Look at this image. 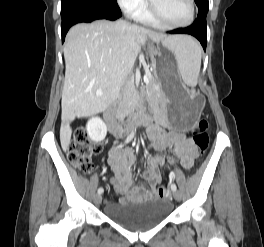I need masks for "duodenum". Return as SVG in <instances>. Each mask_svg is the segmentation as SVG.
Instances as JSON below:
<instances>
[{
    "label": "duodenum",
    "instance_id": "duodenum-1",
    "mask_svg": "<svg viewBox=\"0 0 264 247\" xmlns=\"http://www.w3.org/2000/svg\"><path fill=\"white\" fill-rule=\"evenodd\" d=\"M119 111V104H112L105 114V120L108 126L109 131L114 135H121L125 133L132 123H138L143 121L145 118L142 114L134 113L130 120L125 124H120L116 121V114Z\"/></svg>",
    "mask_w": 264,
    "mask_h": 247
}]
</instances>
